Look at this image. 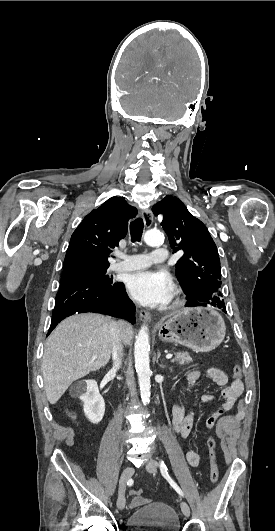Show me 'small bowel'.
<instances>
[{"instance_id":"1","label":"small bowel","mask_w":275,"mask_h":531,"mask_svg":"<svg viewBox=\"0 0 275 531\" xmlns=\"http://www.w3.org/2000/svg\"><path fill=\"white\" fill-rule=\"evenodd\" d=\"M207 375L215 385L222 387L221 395L224 398L222 405L215 410L207 419L206 426L211 429L216 422L228 411H230L243 391V382L240 377H234L229 381L226 373L219 368H209ZM188 380V393H191L196 384L201 378V373L197 370H191L186 372ZM215 400V396L211 393H205L201 396V401L209 403ZM190 404L189 397L172 409V425L176 434L181 438H187L193 429L194 425V412H187V408ZM186 460L189 465L196 467L200 465L204 460V453L196 450H189L185 454ZM147 499L141 496H134L129 503L130 508L136 509L147 503Z\"/></svg>"}]
</instances>
